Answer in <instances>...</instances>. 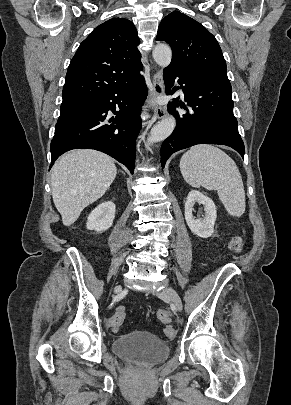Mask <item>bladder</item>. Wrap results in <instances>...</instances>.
I'll list each match as a JSON object with an SVG mask.
<instances>
[{
    "label": "bladder",
    "instance_id": "31cf9c89",
    "mask_svg": "<svg viewBox=\"0 0 291 405\" xmlns=\"http://www.w3.org/2000/svg\"><path fill=\"white\" fill-rule=\"evenodd\" d=\"M112 350L126 362L152 366L169 356L170 345L149 331L136 330L117 337Z\"/></svg>",
    "mask_w": 291,
    "mask_h": 405
}]
</instances>
